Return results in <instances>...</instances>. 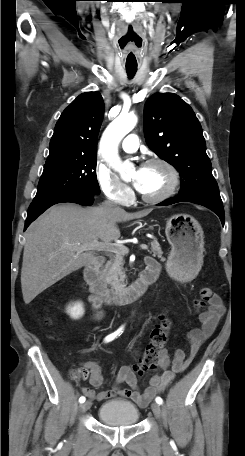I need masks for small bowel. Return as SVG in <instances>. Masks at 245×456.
Masks as SVG:
<instances>
[{
  "mask_svg": "<svg viewBox=\"0 0 245 456\" xmlns=\"http://www.w3.org/2000/svg\"><path fill=\"white\" fill-rule=\"evenodd\" d=\"M93 308L95 309V319L102 316L98 310L100 303L93 296L90 298ZM200 326L191 329L187 334L188 352L181 349L174 351L171 356L168 350H164L160 365L162 368L171 369L163 374H155L149 380V386L143 391H138L137 380L133 370L124 366L117 373L113 389L95 393L94 390L84 387L82 392L91 400L102 402L113 397L129 398L137 405L144 407L152 398L162 392L174 377L183 372L195 358L201 344L210 337L215 331L221 317L225 312L223 302L218 294L209 288H203L199 296L194 301ZM85 372L89 375L90 384L94 387H100L104 383L102 375V366L99 362L92 361L85 364ZM122 383H126L130 388H120Z\"/></svg>",
  "mask_w": 245,
  "mask_h": 456,
  "instance_id": "1",
  "label": "small bowel"
}]
</instances>
